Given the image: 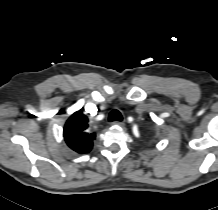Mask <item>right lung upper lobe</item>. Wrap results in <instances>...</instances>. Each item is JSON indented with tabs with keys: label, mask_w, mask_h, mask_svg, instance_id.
<instances>
[{
	"label": "right lung upper lobe",
	"mask_w": 218,
	"mask_h": 210,
	"mask_svg": "<svg viewBox=\"0 0 218 210\" xmlns=\"http://www.w3.org/2000/svg\"><path fill=\"white\" fill-rule=\"evenodd\" d=\"M64 138L72 150L84 154L92 149L95 133L89 132L88 118L78 111L67 120L64 126Z\"/></svg>",
	"instance_id": "cb5924a9"
}]
</instances>
